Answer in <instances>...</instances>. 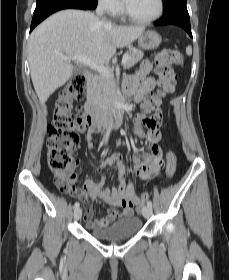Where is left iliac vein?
Listing matches in <instances>:
<instances>
[{"mask_svg": "<svg viewBox=\"0 0 229 280\" xmlns=\"http://www.w3.org/2000/svg\"><path fill=\"white\" fill-rule=\"evenodd\" d=\"M142 214L145 218H149L152 215V208L150 206H144L142 209Z\"/></svg>", "mask_w": 229, "mask_h": 280, "instance_id": "1", "label": "left iliac vein"}]
</instances>
